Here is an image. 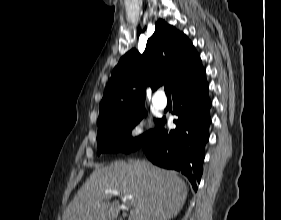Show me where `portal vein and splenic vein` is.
<instances>
[{"instance_id": "obj_1", "label": "portal vein and splenic vein", "mask_w": 281, "mask_h": 220, "mask_svg": "<svg viewBox=\"0 0 281 220\" xmlns=\"http://www.w3.org/2000/svg\"><path fill=\"white\" fill-rule=\"evenodd\" d=\"M106 194H107V197L111 196V195L122 196L121 193L116 190L106 191ZM122 199H123V201H132L134 199V197L131 195H124L122 197Z\"/></svg>"}]
</instances>
